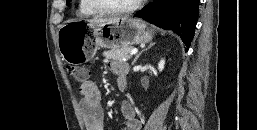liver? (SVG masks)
I'll return each instance as SVG.
<instances>
[{
  "instance_id": "6515ba94",
  "label": "liver",
  "mask_w": 257,
  "mask_h": 130,
  "mask_svg": "<svg viewBox=\"0 0 257 130\" xmlns=\"http://www.w3.org/2000/svg\"><path fill=\"white\" fill-rule=\"evenodd\" d=\"M108 20L115 21V20H118V18H111V19L96 18V19L90 20L89 23L90 24H100V23H104V22H106Z\"/></svg>"
}]
</instances>
